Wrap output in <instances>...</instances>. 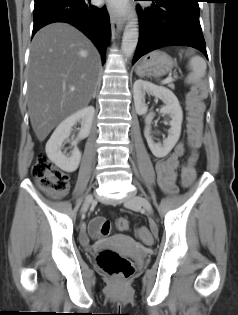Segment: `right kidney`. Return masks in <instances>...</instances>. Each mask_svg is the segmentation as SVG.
Returning a JSON list of instances; mask_svg holds the SVG:
<instances>
[{
    "instance_id": "1",
    "label": "right kidney",
    "mask_w": 238,
    "mask_h": 315,
    "mask_svg": "<svg viewBox=\"0 0 238 315\" xmlns=\"http://www.w3.org/2000/svg\"><path fill=\"white\" fill-rule=\"evenodd\" d=\"M95 114L93 106H87L63 120L55 129L46 144V154L48 158L61 170L72 173L77 170L81 161V152L77 148L78 141L89 136ZM81 123L78 137L72 142L74 149L71 155L62 152L63 142L69 138L72 127Z\"/></svg>"
}]
</instances>
